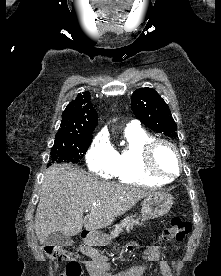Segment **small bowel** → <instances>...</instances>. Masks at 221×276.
Instances as JSON below:
<instances>
[{"label":"small bowel","instance_id":"small-bowel-1","mask_svg":"<svg viewBox=\"0 0 221 276\" xmlns=\"http://www.w3.org/2000/svg\"><path fill=\"white\" fill-rule=\"evenodd\" d=\"M136 246L135 243L132 244ZM82 252L87 256L84 261L85 267L90 276H143L149 265L159 263L163 276H173L172 269L166 260L161 259L162 249L152 245L147 247L142 255V262L119 273L111 272L109 260L93 248H83Z\"/></svg>","mask_w":221,"mask_h":276}]
</instances>
